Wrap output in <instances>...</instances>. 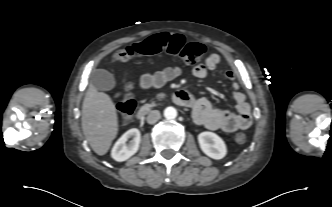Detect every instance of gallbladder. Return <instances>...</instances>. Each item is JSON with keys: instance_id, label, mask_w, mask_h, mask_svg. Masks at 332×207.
Instances as JSON below:
<instances>
[{"instance_id": "obj_1", "label": "gallbladder", "mask_w": 332, "mask_h": 207, "mask_svg": "<svg viewBox=\"0 0 332 207\" xmlns=\"http://www.w3.org/2000/svg\"><path fill=\"white\" fill-rule=\"evenodd\" d=\"M90 81L97 90L101 91L112 90L116 85L114 76L103 69L95 70L91 75Z\"/></svg>"}]
</instances>
